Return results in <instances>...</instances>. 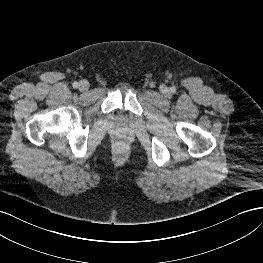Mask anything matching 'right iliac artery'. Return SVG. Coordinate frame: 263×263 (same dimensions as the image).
Returning a JSON list of instances; mask_svg holds the SVG:
<instances>
[{
	"label": "right iliac artery",
	"instance_id": "82829eb1",
	"mask_svg": "<svg viewBox=\"0 0 263 263\" xmlns=\"http://www.w3.org/2000/svg\"><path fill=\"white\" fill-rule=\"evenodd\" d=\"M72 86H73L74 88H77V87L79 86V84H78V82H74V83L72 84Z\"/></svg>",
	"mask_w": 263,
	"mask_h": 263
}]
</instances>
